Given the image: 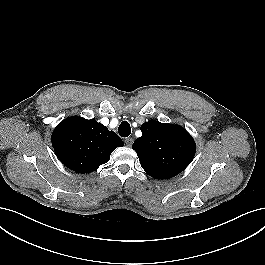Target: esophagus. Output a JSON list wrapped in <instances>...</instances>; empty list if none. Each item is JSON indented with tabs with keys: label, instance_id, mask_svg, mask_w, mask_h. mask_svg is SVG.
<instances>
[{
	"label": "esophagus",
	"instance_id": "obj_1",
	"mask_svg": "<svg viewBox=\"0 0 265 265\" xmlns=\"http://www.w3.org/2000/svg\"><path fill=\"white\" fill-rule=\"evenodd\" d=\"M125 144H126L128 147H131L132 144H133V138H126V139H125Z\"/></svg>",
	"mask_w": 265,
	"mask_h": 265
}]
</instances>
